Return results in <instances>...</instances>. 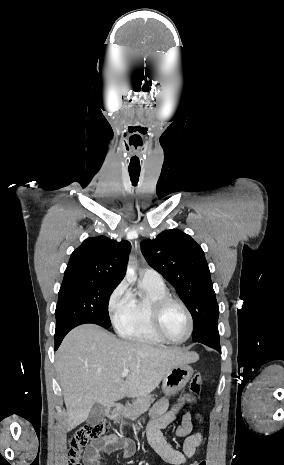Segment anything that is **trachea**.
I'll return each instance as SVG.
<instances>
[{
    "label": "trachea",
    "instance_id": "1",
    "mask_svg": "<svg viewBox=\"0 0 284 465\" xmlns=\"http://www.w3.org/2000/svg\"><path fill=\"white\" fill-rule=\"evenodd\" d=\"M129 175L133 186H136L140 176V169H129Z\"/></svg>",
    "mask_w": 284,
    "mask_h": 465
}]
</instances>
